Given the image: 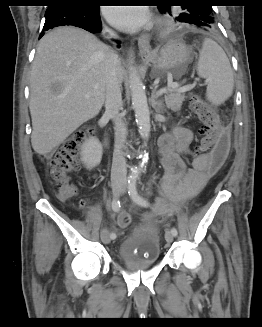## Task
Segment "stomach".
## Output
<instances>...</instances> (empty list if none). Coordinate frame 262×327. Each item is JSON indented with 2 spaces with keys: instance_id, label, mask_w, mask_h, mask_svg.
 <instances>
[{
  "instance_id": "stomach-1",
  "label": "stomach",
  "mask_w": 262,
  "mask_h": 327,
  "mask_svg": "<svg viewBox=\"0 0 262 327\" xmlns=\"http://www.w3.org/2000/svg\"><path fill=\"white\" fill-rule=\"evenodd\" d=\"M145 61L152 63L159 76L169 73L181 76L190 59L191 50L180 41H171L164 44L158 51L144 56Z\"/></svg>"
}]
</instances>
